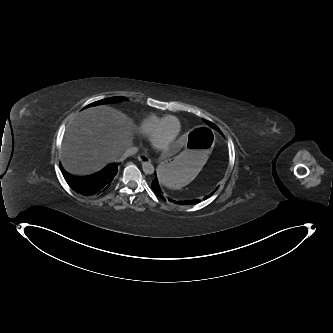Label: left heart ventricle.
I'll list each match as a JSON object with an SVG mask.
<instances>
[{
  "mask_svg": "<svg viewBox=\"0 0 333 333\" xmlns=\"http://www.w3.org/2000/svg\"><path fill=\"white\" fill-rule=\"evenodd\" d=\"M177 130H178L177 121L174 119L168 120L165 123L160 136L158 137V143L165 144L170 140H172L173 137L176 135Z\"/></svg>",
  "mask_w": 333,
  "mask_h": 333,
  "instance_id": "1",
  "label": "left heart ventricle"
}]
</instances>
